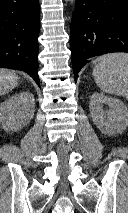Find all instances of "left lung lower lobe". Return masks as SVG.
Returning <instances> with one entry per match:
<instances>
[{
  "label": "left lung lower lobe",
  "instance_id": "0a47b994",
  "mask_svg": "<svg viewBox=\"0 0 128 213\" xmlns=\"http://www.w3.org/2000/svg\"><path fill=\"white\" fill-rule=\"evenodd\" d=\"M70 46L75 79L88 58L128 53V0H76Z\"/></svg>",
  "mask_w": 128,
  "mask_h": 213
}]
</instances>
